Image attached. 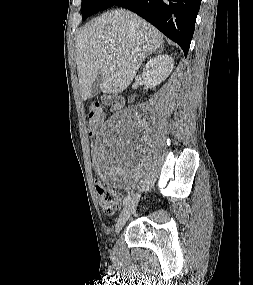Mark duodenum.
Here are the masks:
<instances>
[{
    "label": "duodenum",
    "mask_w": 253,
    "mask_h": 285,
    "mask_svg": "<svg viewBox=\"0 0 253 285\" xmlns=\"http://www.w3.org/2000/svg\"><path fill=\"white\" fill-rule=\"evenodd\" d=\"M104 101L113 110H118V109L122 108L125 104V101L121 96L108 95L104 98Z\"/></svg>",
    "instance_id": "duodenum-1"
}]
</instances>
